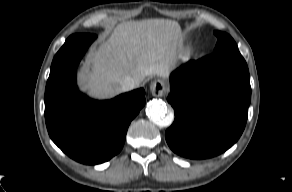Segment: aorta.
<instances>
[{"instance_id":"762f6f07","label":"aorta","mask_w":292,"mask_h":192,"mask_svg":"<svg viewBox=\"0 0 292 192\" xmlns=\"http://www.w3.org/2000/svg\"><path fill=\"white\" fill-rule=\"evenodd\" d=\"M148 117L161 127L169 126L173 121V116L168 113L167 105L162 100L154 99L146 105Z\"/></svg>"}]
</instances>
